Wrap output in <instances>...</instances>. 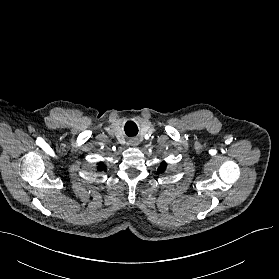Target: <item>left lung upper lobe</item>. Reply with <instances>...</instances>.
I'll return each mask as SVG.
<instances>
[{
	"instance_id": "1",
	"label": "left lung upper lobe",
	"mask_w": 279,
	"mask_h": 279,
	"mask_svg": "<svg viewBox=\"0 0 279 279\" xmlns=\"http://www.w3.org/2000/svg\"><path fill=\"white\" fill-rule=\"evenodd\" d=\"M165 169H166V163L163 162V163L160 165L158 171L162 173V172L165 171Z\"/></svg>"
}]
</instances>
